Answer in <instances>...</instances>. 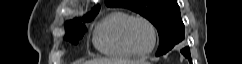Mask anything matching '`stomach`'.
<instances>
[{
	"label": "stomach",
	"instance_id": "obj_1",
	"mask_svg": "<svg viewBox=\"0 0 242 64\" xmlns=\"http://www.w3.org/2000/svg\"><path fill=\"white\" fill-rule=\"evenodd\" d=\"M138 64H149V63L142 61V62H140Z\"/></svg>",
	"mask_w": 242,
	"mask_h": 64
}]
</instances>
